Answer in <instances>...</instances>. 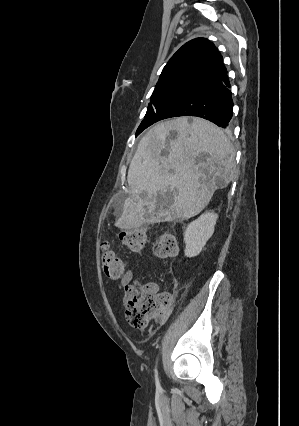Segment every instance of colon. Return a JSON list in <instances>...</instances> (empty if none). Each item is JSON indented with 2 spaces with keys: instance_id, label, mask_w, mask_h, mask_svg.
<instances>
[{
  "instance_id": "5ec220e1",
  "label": "colon",
  "mask_w": 299,
  "mask_h": 426,
  "mask_svg": "<svg viewBox=\"0 0 299 426\" xmlns=\"http://www.w3.org/2000/svg\"><path fill=\"white\" fill-rule=\"evenodd\" d=\"M123 245L132 251H140L147 242V232L143 228L125 230L120 234ZM178 250L177 240L172 233H161L154 243V253L161 258L173 257ZM102 266L105 274L119 278L126 272L127 262L112 251L107 242L102 244ZM126 318L134 328H145L151 318L163 316L171 305V297L155 293L151 286L127 285L124 291Z\"/></svg>"
}]
</instances>
